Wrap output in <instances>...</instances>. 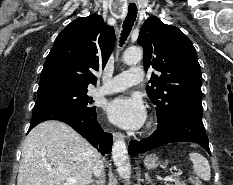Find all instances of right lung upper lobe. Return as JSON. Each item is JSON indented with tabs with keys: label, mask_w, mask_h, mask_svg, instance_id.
I'll return each mask as SVG.
<instances>
[{
	"label": "right lung upper lobe",
	"mask_w": 233,
	"mask_h": 185,
	"mask_svg": "<svg viewBox=\"0 0 233 185\" xmlns=\"http://www.w3.org/2000/svg\"><path fill=\"white\" fill-rule=\"evenodd\" d=\"M115 41L113 27L97 14L77 18L57 36L41 72L38 90L67 87L87 89L92 74L104 68Z\"/></svg>",
	"instance_id": "1"
}]
</instances>
